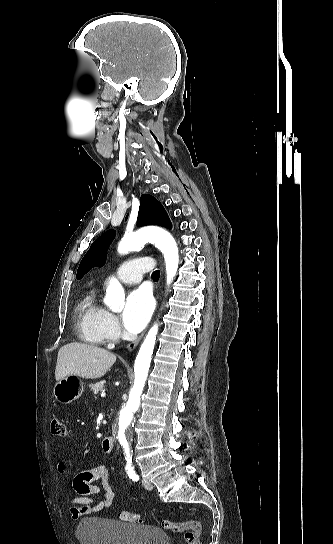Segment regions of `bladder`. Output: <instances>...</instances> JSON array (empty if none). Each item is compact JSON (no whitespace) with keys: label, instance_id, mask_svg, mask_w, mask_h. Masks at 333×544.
Returning <instances> with one entry per match:
<instances>
[{"label":"bladder","instance_id":"obj_1","mask_svg":"<svg viewBox=\"0 0 333 544\" xmlns=\"http://www.w3.org/2000/svg\"><path fill=\"white\" fill-rule=\"evenodd\" d=\"M80 544H170L169 536L151 525H132L101 517L80 520L76 527Z\"/></svg>","mask_w":333,"mask_h":544}]
</instances>
